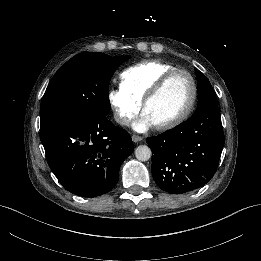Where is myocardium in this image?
<instances>
[{
    "label": "myocardium",
    "mask_w": 261,
    "mask_h": 261,
    "mask_svg": "<svg viewBox=\"0 0 261 261\" xmlns=\"http://www.w3.org/2000/svg\"><path fill=\"white\" fill-rule=\"evenodd\" d=\"M178 73H183L188 77V79L191 83V88H192L191 98H190L188 104L186 105V107L183 109V111L178 116H176L175 118H173L171 120L163 122L161 124H154V127L157 130H169V129H172V128L178 126L188 117V115L191 113V111L195 105L196 98H197V85H196L194 77L187 70L176 68V69L166 72L153 85V87L150 89V91L148 92V94L145 96V98L142 101V112L145 113L147 106L159 96V94L163 91V89L169 83L171 78Z\"/></svg>",
    "instance_id": "1"
}]
</instances>
